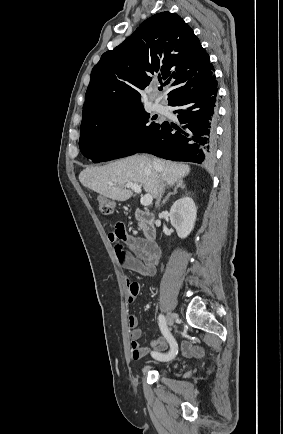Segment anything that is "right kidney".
<instances>
[{
	"instance_id": "right-kidney-1",
	"label": "right kidney",
	"mask_w": 283,
	"mask_h": 434,
	"mask_svg": "<svg viewBox=\"0 0 283 434\" xmlns=\"http://www.w3.org/2000/svg\"><path fill=\"white\" fill-rule=\"evenodd\" d=\"M197 208L190 197H184L171 206L170 222L180 238H186L194 228Z\"/></svg>"
}]
</instances>
